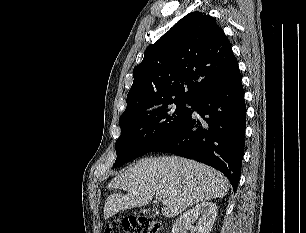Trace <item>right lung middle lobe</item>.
<instances>
[{
	"mask_svg": "<svg viewBox=\"0 0 306 233\" xmlns=\"http://www.w3.org/2000/svg\"><path fill=\"white\" fill-rule=\"evenodd\" d=\"M195 103L182 98L157 101L120 116L121 136L115 143L113 168L152 151L168 139L188 117Z\"/></svg>",
	"mask_w": 306,
	"mask_h": 233,
	"instance_id": "right-lung-middle-lobe-1",
	"label": "right lung middle lobe"
}]
</instances>
